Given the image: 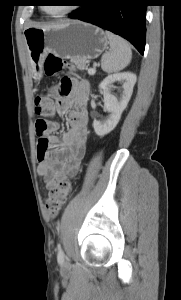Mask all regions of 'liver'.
Here are the masks:
<instances>
[{
	"label": "liver",
	"mask_w": 181,
	"mask_h": 300,
	"mask_svg": "<svg viewBox=\"0 0 181 300\" xmlns=\"http://www.w3.org/2000/svg\"><path fill=\"white\" fill-rule=\"evenodd\" d=\"M51 26H54V25H49V26H39L41 28H47V27H51Z\"/></svg>",
	"instance_id": "1"
}]
</instances>
